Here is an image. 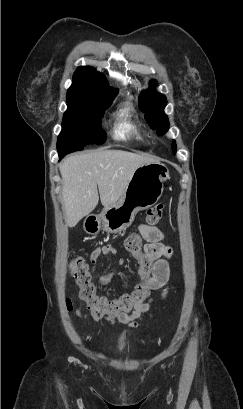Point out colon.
I'll list each match as a JSON object with an SVG mask.
<instances>
[{
	"instance_id": "5ec220e1",
	"label": "colon",
	"mask_w": 243,
	"mask_h": 409,
	"mask_svg": "<svg viewBox=\"0 0 243 409\" xmlns=\"http://www.w3.org/2000/svg\"><path fill=\"white\" fill-rule=\"evenodd\" d=\"M163 215V205L156 204L147 210L146 226H155ZM126 250L135 257L142 256V240L137 232L129 234L125 240ZM72 277L80 287V294L85 299L91 309L107 312L112 315L127 311L131 306L141 304L148 295V291L143 287H137L133 292L118 299L110 300L103 296L96 295V288L91 281V274L88 264L81 258L72 259L69 263ZM149 268H145L148 271Z\"/></svg>"
}]
</instances>
